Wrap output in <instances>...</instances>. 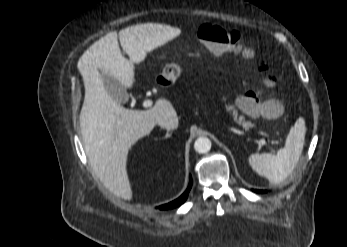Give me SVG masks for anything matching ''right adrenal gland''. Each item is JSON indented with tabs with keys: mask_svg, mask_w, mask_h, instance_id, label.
Segmentation results:
<instances>
[{
	"mask_svg": "<svg viewBox=\"0 0 347 247\" xmlns=\"http://www.w3.org/2000/svg\"><path fill=\"white\" fill-rule=\"evenodd\" d=\"M172 132H167L166 135L163 137V139L169 138L171 136Z\"/></svg>",
	"mask_w": 347,
	"mask_h": 247,
	"instance_id": "obj_1",
	"label": "right adrenal gland"
}]
</instances>
